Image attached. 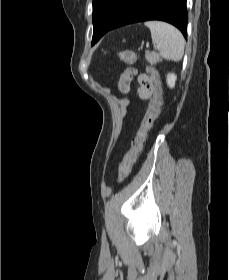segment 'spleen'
Segmentation results:
<instances>
[{"label":"spleen","instance_id":"3e777b00","mask_svg":"<svg viewBox=\"0 0 229 280\" xmlns=\"http://www.w3.org/2000/svg\"><path fill=\"white\" fill-rule=\"evenodd\" d=\"M152 43L166 60L179 61L184 53L185 41L181 32L174 26L161 21H148Z\"/></svg>","mask_w":229,"mask_h":280}]
</instances>
